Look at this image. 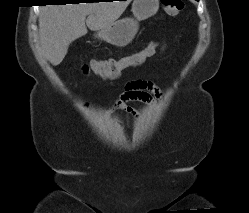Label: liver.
<instances>
[{
  "mask_svg": "<svg viewBox=\"0 0 249 213\" xmlns=\"http://www.w3.org/2000/svg\"><path fill=\"white\" fill-rule=\"evenodd\" d=\"M130 1L42 7L39 16V39L46 58L52 65H59L66 56L69 45L87 34V27L96 31L111 25L122 15Z\"/></svg>",
  "mask_w": 249,
  "mask_h": 213,
  "instance_id": "obj_1",
  "label": "liver"
}]
</instances>
